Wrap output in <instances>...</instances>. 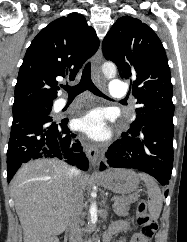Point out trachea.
<instances>
[{"mask_svg":"<svg viewBox=\"0 0 187 242\" xmlns=\"http://www.w3.org/2000/svg\"><path fill=\"white\" fill-rule=\"evenodd\" d=\"M63 89L68 92L70 98H74L86 90H89L90 92H92L93 94H95L97 96L108 98L93 84V82L91 80V63L90 62H88L85 65L84 70L82 72L80 82L75 86L65 85V86H63Z\"/></svg>","mask_w":187,"mask_h":242,"instance_id":"3493384b","label":"trachea"}]
</instances>
